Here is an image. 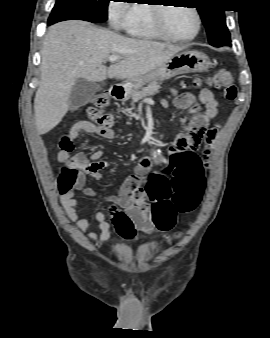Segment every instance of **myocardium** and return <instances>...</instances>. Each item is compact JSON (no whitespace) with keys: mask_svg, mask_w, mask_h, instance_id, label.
I'll return each instance as SVG.
<instances>
[{"mask_svg":"<svg viewBox=\"0 0 270 338\" xmlns=\"http://www.w3.org/2000/svg\"><path fill=\"white\" fill-rule=\"evenodd\" d=\"M151 6H152L153 26L156 29V31L165 39H168L174 42H188V41L195 39L197 35L199 34L200 28H201V17L196 8H193V7L189 8L193 11V13L196 16V30L193 33V35L182 38V37H176L173 34H171L170 31L166 27L164 13L167 8L172 7V6H168V5H151Z\"/></svg>","mask_w":270,"mask_h":338,"instance_id":"obj_1","label":"myocardium"}]
</instances>
